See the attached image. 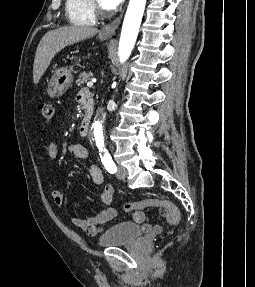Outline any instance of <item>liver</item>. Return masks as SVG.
I'll list each match as a JSON object with an SVG mask.
<instances>
[{
	"label": "liver",
	"instance_id": "1",
	"mask_svg": "<svg viewBox=\"0 0 255 287\" xmlns=\"http://www.w3.org/2000/svg\"><path fill=\"white\" fill-rule=\"evenodd\" d=\"M98 32L97 28H91V26H64V28L47 32L40 40L36 50L33 66L34 84H38L44 72L50 66L51 60L55 58L58 52H61L66 46L88 40V38L96 36Z\"/></svg>",
	"mask_w": 255,
	"mask_h": 287
}]
</instances>
